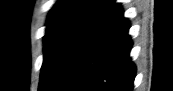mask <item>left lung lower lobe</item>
Here are the masks:
<instances>
[{
  "label": "left lung lower lobe",
  "instance_id": "1",
  "mask_svg": "<svg viewBox=\"0 0 173 91\" xmlns=\"http://www.w3.org/2000/svg\"><path fill=\"white\" fill-rule=\"evenodd\" d=\"M130 24L115 3L83 39L51 91H132Z\"/></svg>",
  "mask_w": 173,
  "mask_h": 91
}]
</instances>
